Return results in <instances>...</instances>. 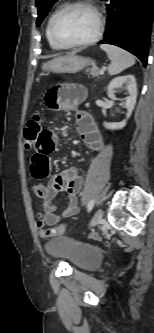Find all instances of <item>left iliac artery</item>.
Instances as JSON below:
<instances>
[{
  "mask_svg": "<svg viewBox=\"0 0 154 333\" xmlns=\"http://www.w3.org/2000/svg\"><path fill=\"white\" fill-rule=\"evenodd\" d=\"M95 204V200L92 199L89 201L88 205H87V211L90 212L92 210V208L94 207Z\"/></svg>",
  "mask_w": 154,
  "mask_h": 333,
  "instance_id": "44dca946",
  "label": "left iliac artery"
}]
</instances>
